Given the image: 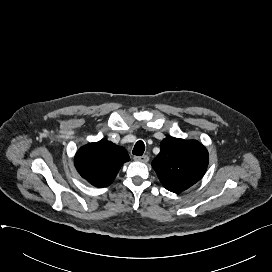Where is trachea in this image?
<instances>
[{"instance_id":"3493384b","label":"trachea","mask_w":272,"mask_h":272,"mask_svg":"<svg viewBox=\"0 0 272 272\" xmlns=\"http://www.w3.org/2000/svg\"><path fill=\"white\" fill-rule=\"evenodd\" d=\"M144 151H145V144H144L143 141L139 140V141L135 144L132 153H133L134 155H136V156H142L143 153H144Z\"/></svg>"}]
</instances>
